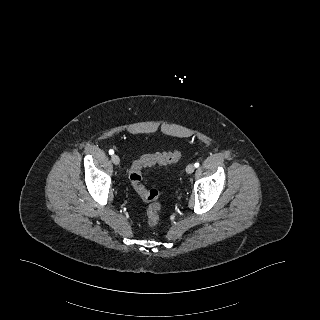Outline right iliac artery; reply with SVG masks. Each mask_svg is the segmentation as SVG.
Segmentation results:
<instances>
[{
	"mask_svg": "<svg viewBox=\"0 0 320 320\" xmlns=\"http://www.w3.org/2000/svg\"><path fill=\"white\" fill-rule=\"evenodd\" d=\"M109 154H110V155L114 154V151H113L112 149L109 150Z\"/></svg>",
	"mask_w": 320,
	"mask_h": 320,
	"instance_id": "82829eb1",
	"label": "right iliac artery"
}]
</instances>
